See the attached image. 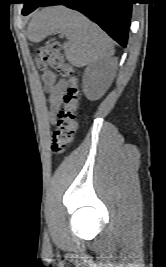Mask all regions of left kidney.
Masks as SVG:
<instances>
[{"label": "left kidney", "mask_w": 166, "mask_h": 267, "mask_svg": "<svg viewBox=\"0 0 166 267\" xmlns=\"http://www.w3.org/2000/svg\"><path fill=\"white\" fill-rule=\"evenodd\" d=\"M83 92L91 100H97L104 93L108 84L106 63H95L88 66L83 75Z\"/></svg>", "instance_id": "1"}]
</instances>
